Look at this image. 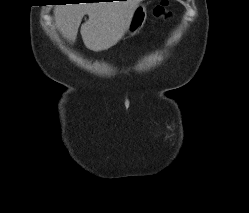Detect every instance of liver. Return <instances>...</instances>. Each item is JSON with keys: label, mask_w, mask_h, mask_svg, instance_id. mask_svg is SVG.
<instances>
[{"label": "liver", "mask_w": 249, "mask_h": 213, "mask_svg": "<svg viewBox=\"0 0 249 213\" xmlns=\"http://www.w3.org/2000/svg\"><path fill=\"white\" fill-rule=\"evenodd\" d=\"M143 0L62 4L54 8L55 22L62 35L75 42L85 14L89 19L81 26L84 45L100 52L116 45L124 36L132 14Z\"/></svg>", "instance_id": "obj_1"}]
</instances>
